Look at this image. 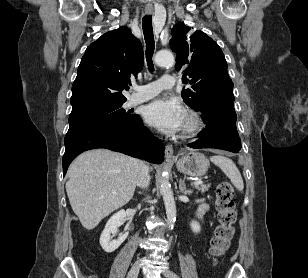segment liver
Segmentation results:
<instances>
[{
	"label": "liver",
	"instance_id": "6515ba94",
	"mask_svg": "<svg viewBox=\"0 0 308 278\" xmlns=\"http://www.w3.org/2000/svg\"><path fill=\"white\" fill-rule=\"evenodd\" d=\"M143 162L107 149L80 154L68 169L66 192L82 226L94 229L133 197Z\"/></svg>",
	"mask_w": 308,
	"mask_h": 278
}]
</instances>
